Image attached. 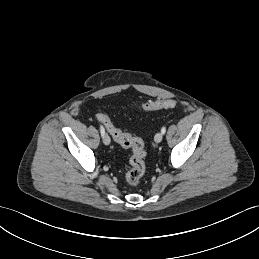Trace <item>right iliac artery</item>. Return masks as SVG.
I'll return each instance as SVG.
<instances>
[{"label":"right iliac artery","mask_w":259,"mask_h":259,"mask_svg":"<svg viewBox=\"0 0 259 259\" xmlns=\"http://www.w3.org/2000/svg\"><path fill=\"white\" fill-rule=\"evenodd\" d=\"M100 133L102 136H104V134H105V129L102 125H100Z\"/></svg>","instance_id":"obj_1"}]
</instances>
